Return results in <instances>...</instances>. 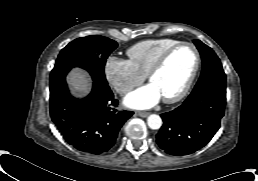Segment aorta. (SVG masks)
Masks as SVG:
<instances>
[{"mask_svg": "<svg viewBox=\"0 0 258 181\" xmlns=\"http://www.w3.org/2000/svg\"><path fill=\"white\" fill-rule=\"evenodd\" d=\"M147 124L151 129H159L162 126V119L159 115L151 114L147 118Z\"/></svg>", "mask_w": 258, "mask_h": 181, "instance_id": "762f6f07", "label": "aorta"}]
</instances>
